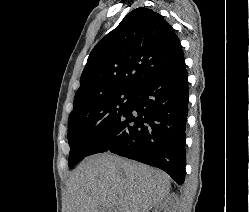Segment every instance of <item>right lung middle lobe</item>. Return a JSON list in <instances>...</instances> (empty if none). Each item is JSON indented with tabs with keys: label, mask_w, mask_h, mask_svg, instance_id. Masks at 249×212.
Masks as SVG:
<instances>
[{
	"label": "right lung middle lobe",
	"mask_w": 249,
	"mask_h": 212,
	"mask_svg": "<svg viewBox=\"0 0 249 212\" xmlns=\"http://www.w3.org/2000/svg\"><path fill=\"white\" fill-rule=\"evenodd\" d=\"M134 92H116L93 98L73 109L68 119L69 168L92 151L130 107Z\"/></svg>",
	"instance_id": "dd1d6c3e"
}]
</instances>
